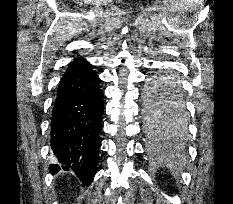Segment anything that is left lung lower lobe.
Instances as JSON below:
<instances>
[{
	"label": "left lung lower lobe",
	"instance_id": "0a47b994",
	"mask_svg": "<svg viewBox=\"0 0 233 204\" xmlns=\"http://www.w3.org/2000/svg\"><path fill=\"white\" fill-rule=\"evenodd\" d=\"M158 78H165V79H170V80H173L175 81V79L171 76H168V75H161V76H157ZM156 85H154V88H155ZM151 130H156V131H166L167 132V135L166 137H171L172 134H174L175 132H177L178 128H176L175 126H171V125H161L159 126L158 128L156 129H152Z\"/></svg>",
	"mask_w": 233,
	"mask_h": 204
}]
</instances>
